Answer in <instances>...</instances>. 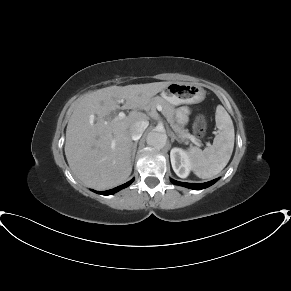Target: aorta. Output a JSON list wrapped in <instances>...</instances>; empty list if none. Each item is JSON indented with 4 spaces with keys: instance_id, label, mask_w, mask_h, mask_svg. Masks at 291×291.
Returning <instances> with one entry per match:
<instances>
[{
    "instance_id": "obj_1",
    "label": "aorta",
    "mask_w": 291,
    "mask_h": 291,
    "mask_svg": "<svg viewBox=\"0 0 291 291\" xmlns=\"http://www.w3.org/2000/svg\"><path fill=\"white\" fill-rule=\"evenodd\" d=\"M147 144L154 148H163L167 142V135L163 130H152L147 135Z\"/></svg>"
}]
</instances>
